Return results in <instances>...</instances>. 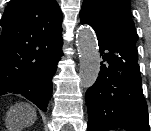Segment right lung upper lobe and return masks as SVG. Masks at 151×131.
Returning <instances> with one entry per match:
<instances>
[{"label":"right lung upper lobe","mask_w":151,"mask_h":131,"mask_svg":"<svg viewBox=\"0 0 151 131\" xmlns=\"http://www.w3.org/2000/svg\"><path fill=\"white\" fill-rule=\"evenodd\" d=\"M56 0H11L1 19L0 92L41 70L62 40Z\"/></svg>","instance_id":"1"}]
</instances>
